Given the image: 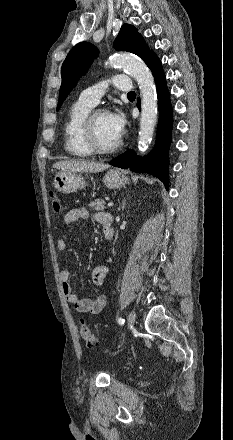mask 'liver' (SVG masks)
<instances>
[{"instance_id": "1", "label": "liver", "mask_w": 233, "mask_h": 440, "mask_svg": "<svg viewBox=\"0 0 233 440\" xmlns=\"http://www.w3.org/2000/svg\"><path fill=\"white\" fill-rule=\"evenodd\" d=\"M109 165L103 163H96L85 160H70L59 161L53 164V168L59 169L62 172H101L106 170Z\"/></svg>"}]
</instances>
